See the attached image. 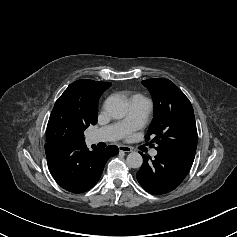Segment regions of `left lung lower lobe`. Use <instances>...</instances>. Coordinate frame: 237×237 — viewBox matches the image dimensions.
<instances>
[{
  "label": "left lung lower lobe",
  "mask_w": 237,
  "mask_h": 237,
  "mask_svg": "<svg viewBox=\"0 0 237 237\" xmlns=\"http://www.w3.org/2000/svg\"><path fill=\"white\" fill-rule=\"evenodd\" d=\"M143 164L137 180L149 193L160 195L174 190L187 176L194 159L174 154L160 153L152 162L143 155ZM151 159V158H150Z\"/></svg>",
  "instance_id": "obj_1"
}]
</instances>
